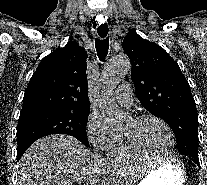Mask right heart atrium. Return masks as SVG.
Masks as SVG:
<instances>
[{
  "label": "right heart atrium",
  "mask_w": 207,
  "mask_h": 185,
  "mask_svg": "<svg viewBox=\"0 0 207 185\" xmlns=\"http://www.w3.org/2000/svg\"><path fill=\"white\" fill-rule=\"evenodd\" d=\"M86 134L90 145L100 151L108 146L116 132L110 126L105 114L94 109L88 117Z\"/></svg>",
  "instance_id": "right-heart-atrium-1"
}]
</instances>
